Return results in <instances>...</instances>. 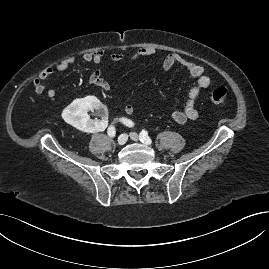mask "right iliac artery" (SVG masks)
I'll return each mask as SVG.
<instances>
[{"mask_svg":"<svg viewBox=\"0 0 269 269\" xmlns=\"http://www.w3.org/2000/svg\"><path fill=\"white\" fill-rule=\"evenodd\" d=\"M124 120H125L124 123H126L127 126L132 127L134 125V123L131 120H129V119H124ZM107 133H108V135L110 137H114L115 134H116L115 127L114 126H110L108 128Z\"/></svg>","mask_w":269,"mask_h":269,"instance_id":"right-iliac-artery-1","label":"right iliac artery"}]
</instances>
